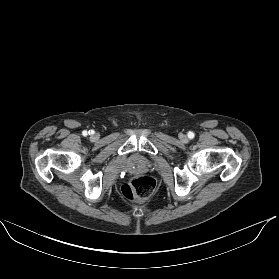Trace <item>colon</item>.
<instances>
[{
    "label": "colon",
    "instance_id": "1",
    "mask_svg": "<svg viewBox=\"0 0 279 279\" xmlns=\"http://www.w3.org/2000/svg\"><path fill=\"white\" fill-rule=\"evenodd\" d=\"M155 186L156 182L152 177L136 176L122 186L121 194L132 202L143 203L151 196Z\"/></svg>",
    "mask_w": 279,
    "mask_h": 279
}]
</instances>
